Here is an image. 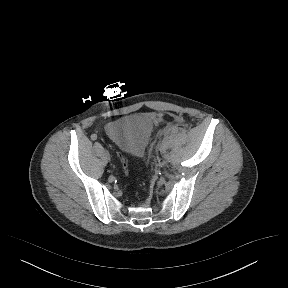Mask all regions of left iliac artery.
Wrapping results in <instances>:
<instances>
[{"mask_svg": "<svg viewBox=\"0 0 288 288\" xmlns=\"http://www.w3.org/2000/svg\"><path fill=\"white\" fill-rule=\"evenodd\" d=\"M168 140H169V136H165L164 139H163V141H162V148L165 147V145H166V143L168 142Z\"/></svg>", "mask_w": 288, "mask_h": 288, "instance_id": "obj_1", "label": "left iliac artery"}]
</instances>
